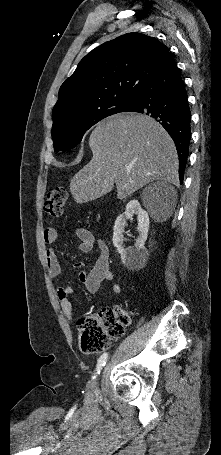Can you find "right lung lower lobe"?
<instances>
[{
  "label": "right lung lower lobe",
  "instance_id": "right-lung-lower-lobe-1",
  "mask_svg": "<svg viewBox=\"0 0 221 455\" xmlns=\"http://www.w3.org/2000/svg\"><path fill=\"white\" fill-rule=\"evenodd\" d=\"M123 112L149 115L165 128L176 146L182 183L191 140V113L187 92L171 53Z\"/></svg>",
  "mask_w": 221,
  "mask_h": 455
}]
</instances>
